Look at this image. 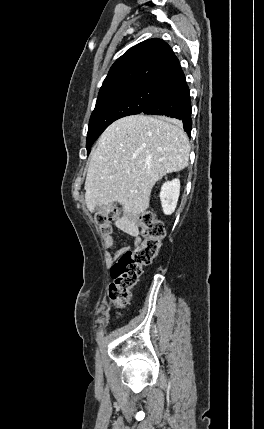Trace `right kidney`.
<instances>
[{
    "mask_svg": "<svg viewBox=\"0 0 264 429\" xmlns=\"http://www.w3.org/2000/svg\"><path fill=\"white\" fill-rule=\"evenodd\" d=\"M180 194V181L174 179L165 182L161 187L160 200L165 215H171L177 206Z\"/></svg>",
    "mask_w": 264,
    "mask_h": 429,
    "instance_id": "obj_1",
    "label": "right kidney"
}]
</instances>
